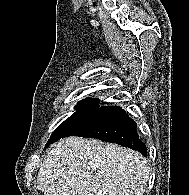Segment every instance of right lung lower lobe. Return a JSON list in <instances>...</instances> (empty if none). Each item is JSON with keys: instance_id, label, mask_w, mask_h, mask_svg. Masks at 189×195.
I'll list each match as a JSON object with an SVG mask.
<instances>
[{"instance_id": "right-lung-lower-lobe-1", "label": "right lung lower lobe", "mask_w": 189, "mask_h": 195, "mask_svg": "<svg viewBox=\"0 0 189 195\" xmlns=\"http://www.w3.org/2000/svg\"><path fill=\"white\" fill-rule=\"evenodd\" d=\"M136 123L118 106L100 107L72 136L96 138L131 148L147 156L145 144L139 139Z\"/></svg>"}]
</instances>
